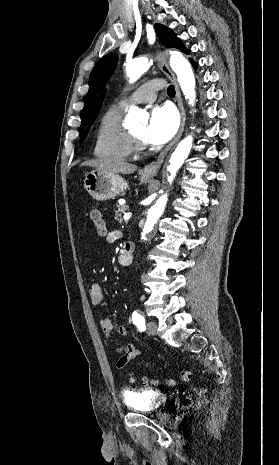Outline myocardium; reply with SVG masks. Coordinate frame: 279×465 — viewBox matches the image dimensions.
I'll list each match as a JSON object with an SVG mask.
<instances>
[{"mask_svg": "<svg viewBox=\"0 0 279 465\" xmlns=\"http://www.w3.org/2000/svg\"><path fill=\"white\" fill-rule=\"evenodd\" d=\"M129 138L132 151L142 152L147 149L146 142L137 135H135L132 131H129Z\"/></svg>", "mask_w": 279, "mask_h": 465, "instance_id": "1", "label": "myocardium"}]
</instances>
